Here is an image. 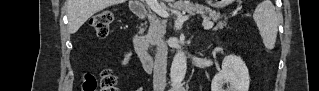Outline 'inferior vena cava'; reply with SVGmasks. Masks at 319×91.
I'll list each match as a JSON object with an SVG mask.
<instances>
[{"instance_id":"602c4592","label":"inferior vena cava","mask_w":319,"mask_h":91,"mask_svg":"<svg viewBox=\"0 0 319 91\" xmlns=\"http://www.w3.org/2000/svg\"><path fill=\"white\" fill-rule=\"evenodd\" d=\"M167 51V44L163 40H159L157 42V50L154 62V91H164L166 87Z\"/></svg>"}]
</instances>
